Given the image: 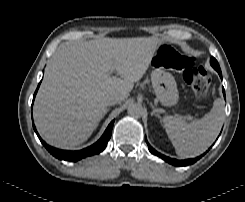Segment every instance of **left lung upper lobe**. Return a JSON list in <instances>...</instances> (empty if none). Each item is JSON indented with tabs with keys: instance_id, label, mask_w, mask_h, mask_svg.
<instances>
[{
	"instance_id": "obj_1",
	"label": "left lung upper lobe",
	"mask_w": 245,
	"mask_h": 202,
	"mask_svg": "<svg viewBox=\"0 0 245 202\" xmlns=\"http://www.w3.org/2000/svg\"><path fill=\"white\" fill-rule=\"evenodd\" d=\"M210 64L218 72V74H221L220 66L215 58H211Z\"/></svg>"
}]
</instances>
